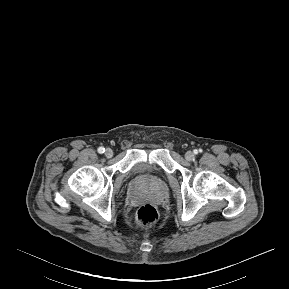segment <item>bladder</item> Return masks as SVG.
I'll return each mask as SVG.
<instances>
[{
  "mask_svg": "<svg viewBox=\"0 0 289 289\" xmlns=\"http://www.w3.org/2000/svg\"><path fill=\"white\" fill-rule=\"evenodd\" d=\"M149 165L146 163H137L135 164L130 171L128 172V177H135L141 175L149 170Z\"/></svg>",
  "mask_w": 289,
  "mask_h": 289,
  "instance_id": "1",
  "label": "bladder"
}]
</instances>
